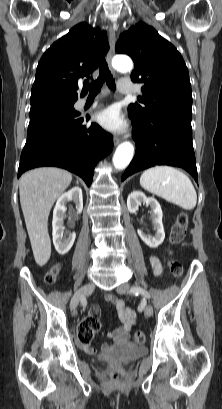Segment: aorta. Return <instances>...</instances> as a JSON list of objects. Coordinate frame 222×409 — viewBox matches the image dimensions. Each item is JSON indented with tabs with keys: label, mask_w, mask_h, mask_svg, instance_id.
Here are the masks:
<instances>
[{
	"label": "aorta",
	"mask_w": 222,
	"mask_h": 409,
	"mask_svg": "<svg viewBox=\"0 0 222 409\" xmlns=\"http://www.w3.org/2000/svg\"><path fill=\"white\" fill-rule=\"evenodd\" d=\"M112 66L119 72H130L133 68L131 59L127 56H116L112 60ZM134 156V146L130 142L121 143L113 156V165L117 170L125 169Z\"/></svg>",
	"instance_id": "obj_1"
}]
</instances>
